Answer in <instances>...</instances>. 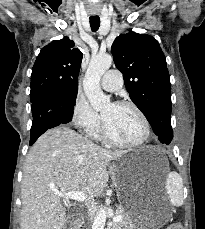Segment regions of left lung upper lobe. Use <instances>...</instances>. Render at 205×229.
<instances>
[{
    "label": "left lung upper lobe",
    "instance_id": "5c2ea615",
    "mask_svg": "<svg viewBox=\"0 0 205 229\" xmlns=\"http://www.w3.org/2000/svg\"><path fill=\"white\" fill-rule=\"evenodd\" d=\"M111 52L124 76L131 100L143 112L161 143L173 138L171 86L165 56L158 41L145 34H121Z\"/></svg>",
    "mask_w": 205,
    "mask_h": 229
}]
</instances>
